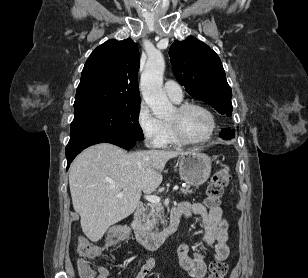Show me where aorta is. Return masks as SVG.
<instances>
[{
    "label": "aorta",
    "instance_id": "obj_1",
    "mask_svg": "<svg viewBox=\"0 0 308 278\" xmlns=\"http://www.w3.org/2000/svg\"><path fill=\"white\" fill-rule=\"evenodd\" d=\"M165 61L160 53L150 56L141 76V91L145 102L159 117H165L173 105L162 90Z\"/></svg>",
    "mask_w": 308,
    "mask_h": 278
}]
</instances>
